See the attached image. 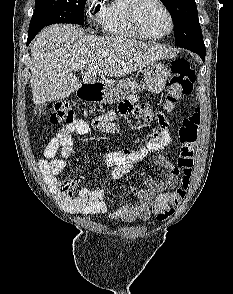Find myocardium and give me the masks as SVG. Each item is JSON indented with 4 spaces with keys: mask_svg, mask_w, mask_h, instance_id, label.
I'll return each instance as SVG.
<instances>
[{
    "mask_svg": "<svg viewBox=\"0 0 233 294\" xmlns=\"http://www.w3.org/2000/svg\"><path fill=\"white\" fill-rule=\"evenodd\" d=\"M147 0H130L129 8H128V17H129V22L134 29L136 33H138L140 36L146 39H151V40H158L162 39L166 36H168L174 29V18L172 15L171 10L169 7L165 4L163 0H151L155 3H157L166 13L169 21V28L166 32L159 34V35H152L147 33L141 26L140 20H139V11L144 2Z\"/></svg>",
    "mask_w": 233,
    "mask_h": 294,
    "instance_id": "1",
    "label": "myocardium"
}]
</instances>
